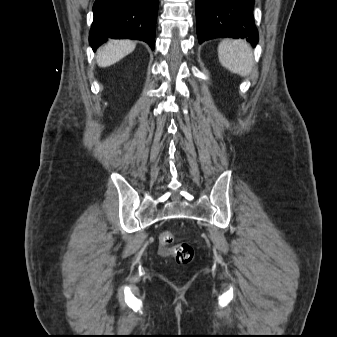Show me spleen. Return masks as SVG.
Wrapping results in <instances>:
<instances>
[{"mask_svg": "<svg viewBox=\"0 0 337 337\" xmlns=\"http://www.w3.org/2000/svg\"><path fill=\"white\" fill-rule=\"evenodd\" d=\"M218 58L223 67L242 77L251 73L254 64L251 47L242 40L225 39L220 42Z\"/></svg>", "mask_w": 337, "mask_h": 337, "instance_id": "1", "label": "spleen"}]
</instances>
